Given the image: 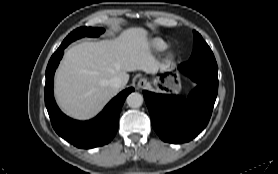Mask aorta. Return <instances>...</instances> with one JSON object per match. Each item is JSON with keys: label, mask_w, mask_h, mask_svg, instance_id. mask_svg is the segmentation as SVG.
<instances>
[{"label": "aorta", "mask_w": 278, "mask_h": 174, "mask_svg": "<svg viewBox=\"0 0 278 174\" xmlns=\"http://www.w3.org/2000/svg\"><path fill=\"white\" fill-rule=\"evenodd\" d=\"M143 96L138 92H132L128 95L126 102L131 108H139L143 104Z\"/></svg>", "instance_id": "1"}]
</instances>
